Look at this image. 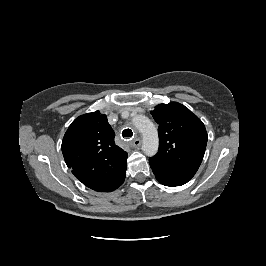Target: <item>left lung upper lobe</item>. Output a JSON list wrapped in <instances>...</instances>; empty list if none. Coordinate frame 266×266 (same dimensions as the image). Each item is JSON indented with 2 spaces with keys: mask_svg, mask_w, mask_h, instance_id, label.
<instances>
[{
  "mask_svg": "<svg viewBox=\"0 0 266 266\" xmlns=\"http://www.w3.org/2000/svg\"><path fill=\"white\" fill-rule=\"evenodd\" d=\"M159 124V150L149 159L156 179L166 186H181L197 172L208 135L203 122L184 105L159 104L151 111Z\"/></svg>",
  "mask_w": 266,
  "mask_h": 266,
  "instance_id": "5c2ea615",
  "label": "left lung upper lobe"
}]
</instances>
